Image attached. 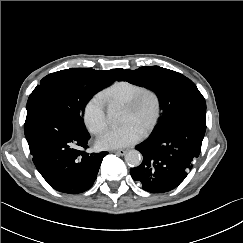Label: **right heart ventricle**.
Masks as SVG:
<instances>
[{
	"label": "right heart ventricle",
	"instance_id": "right-heart-ventricle-1",
	"mask_svg": "<svg viewBox=\"0 0 243 243\" xmlns=\"http://www.w3.org/2000/svg\"><path fill=\"white\" fill-rule=\"evenodd\" d=\"M143 86L131 81H117L106 88L102 95L110 103H119L125 105L129 102Z\"/></svg>",
	"mask_w": 243,
	"mask_h": 243
}]
</instances>
